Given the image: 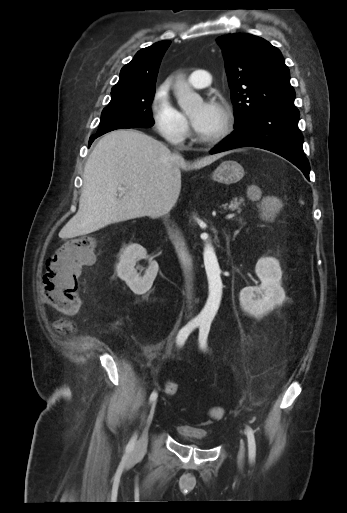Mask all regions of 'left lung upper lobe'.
I'll use <instances>...</instances> for the list:
<instances>
[{
	"label": "left lung upper lobe",
	"instance_id": "obj_1",
	"mask_svg": "<svg viewBox=\"0 0 347 513\" xmlns=\"http://www.w3.org/2000/svg\"><path fill=\"white\" fill-rule=\"evenodd\" d=\"M223 50L235 124L269 109H295V91L281 52L251 34L217 38Z\"/></svg>",
	"mask_w": 347,
	"mask_h": 513
}]
</instances>
